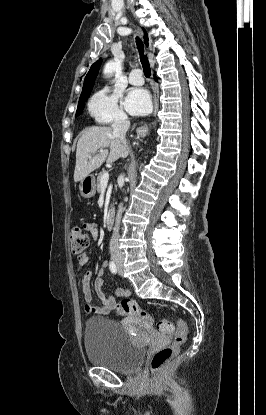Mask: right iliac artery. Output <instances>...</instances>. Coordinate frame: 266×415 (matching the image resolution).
Listing matches in <instances>:
<instances>
[{"label":"right iliac artery","mask_w":266,"mask_h":415,"mask_svg":"<svg viewBox=\"0 0 266 415\" xmlns=\"http://www.w3.org/2000/svg\"><path fill=\"white\" fill-rule=\"evenodd\" d=\"M109 268H110V271H111L113 274H116V273H117V267H116V265H115V263H114L113 261H111V262H110V264H109Z\"/></svg>","instance_id":"1"}]
</instances>
